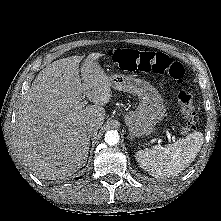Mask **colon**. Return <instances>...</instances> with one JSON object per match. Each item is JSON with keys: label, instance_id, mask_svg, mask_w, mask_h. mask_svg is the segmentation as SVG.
Returning a JSON list of instances; mask_svg holds the SVG:
<instances>
[{"label": "colon", "instance_id": "1", "mask_svg": "<svg viewBox=\"0 0 221 221\" xmlns=\"http://www.w3.org/2000/svg\"><path fill=\"white\" fill-rule=\"evenodd\" d=\"M110 58L125 71H141L163 74L183 85L185 70L183 66L170 56L161 52L137 51L133 49H114L109 53ZM178 103L185 119L184 131L196 129L197 116L192 96L185 90L178 93Z\"/></svg>", "mask_w": 221, "mask_h": 221}]
</instances>
